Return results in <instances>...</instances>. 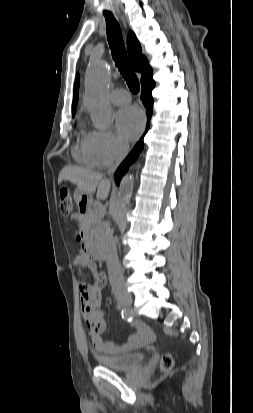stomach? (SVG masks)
Here are the masks:
<instances>
[{"mask_svg":"<svg viewBox=\"0 0 253 413\" xmlns=\"http://www.w3.org/2000/svg\"><path fill=\"white\" fill-rule=\"evenodd\" d=\"M73 197L78 205H82V208L84 207V205L89 206L91 202V195L83 192L78 188L75 190Z\"/></svg>","mask_w":253,"mask_h":413,"instance_id":"stomach-1","label":"stomach"}]
</instances>
